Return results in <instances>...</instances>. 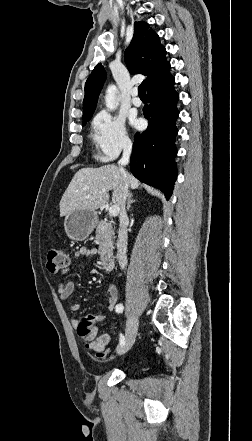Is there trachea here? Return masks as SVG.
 Masks as SVG:
<instances>
[{"label":"trachea","instance_id":"obj_1","mask_svg":"<svg viewBox=\"0 0 252 441\" xmlns=\"http://www.w3.org/2000/svg\"><path fill=\"white\" fill-rule=\"evenodd\" d=\"M138 94L139 96H144L146 97V88H145V84H140L138 87Z\"/></svg>","mask_w":252,"mask_h":441}]
</instances>
